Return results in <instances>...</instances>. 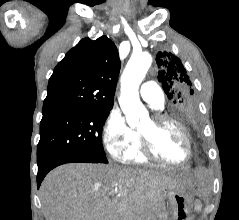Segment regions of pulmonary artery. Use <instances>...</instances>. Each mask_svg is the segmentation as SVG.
Here are the masks:
<instances>
[{
    "instance_id": "pulmonary-artery-1",
    "label": "pulmonary artery",
    "mask_w": 239,
    "mask_h": 220,
    "mask_svg": "<svg viewBox=\"0 0 239 220\" xmlns=\"http://www.w3.org/2000/svg\"><path fill=\"white\" fill-rule=\"evenodd\" d=\"M140 96L152 108L161 109L165 98L161 87L155 81H147L140 88Z\"/></svg>"
}]
</instances>
